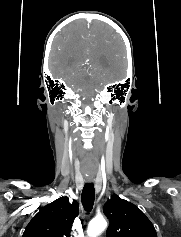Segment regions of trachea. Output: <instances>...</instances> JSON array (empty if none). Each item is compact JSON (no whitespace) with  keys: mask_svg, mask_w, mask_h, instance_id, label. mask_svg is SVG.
Wrapping results in <instances>:
<instances>
[{"mask_svg":"<svg viewBox=\"0 0 181 237\" xmlns=\"http://www.w3.org/2000/svg\"><path fill=\"white\" fill-rule=\"evenodd\" d=\"M94 199H95L94 185L93 183H86L82 191L81 201L83 207L87 212H90L92 210Z\"/></svg>","mask_w":181,"mask_h":237,"instance_id":"trachea-1","label":"trachea"}]
</instances>
